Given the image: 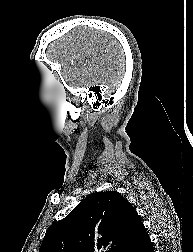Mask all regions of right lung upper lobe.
<instances>
[{
    "label": "right lung upper lobe",
    "instance_id": "cb5924a9",
    "mask_svg": "<svg viewBox=\"0 0 193 252\" xmlns=\"http://www.w3.org/2000/svg\"><path fill=\"white\" fill-rule=\"evenodd\" d=\"M144 225L116 191L96 192L49 227L39 252H125Z\"/></svg>",
    "mask_w": 193,
    "mask_h": 252
}]
</instances>
